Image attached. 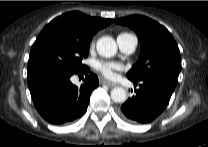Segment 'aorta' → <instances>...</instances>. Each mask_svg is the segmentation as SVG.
Returning a JSON list of instances; mask_svg holds the SVG:
<instances>
[{"instance_id":"1","label":"aorta","mask_w":208,"mask_h":147,"mask_svg":"<svg viewBox=\"0 0 208 147\" xmlns=\"http://www.w3.org/2000/svg\"><path fill=\"white\" fill-rule=\"evenodd\" d=\"M97 52L103 57H113L117 53V44L112 37L103 36L96 44ZM111 99L116 103H123L127 99L126 91L121 87H116L111 91Z\"/></svg>"}]
</instances>
